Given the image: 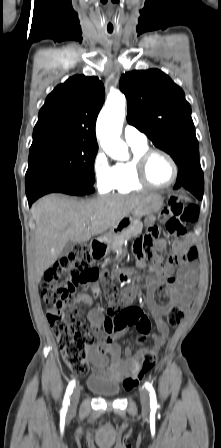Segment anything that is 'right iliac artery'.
<instances>
[{"label": "right iliac artery", "instance_id": "82829eb1", "mask_svg": "<svg viewBox=\"0 0 221 448\" xmlns=\"http://www.w3.org/2000/svg\"><path fill=\"white\" fill-rule=\"evenodd\" d=\"M74 386H75V380H72V381L69 383V385H68V387H67V389H66L65 397H64V400H63V407H62V410H61L63 413H66V412H67L68 405L70 404V399H69V397H70V395H71L72 392H73V388H74Z\"/></svg>", "mask_w": 221, "mask_h": 448}]
</instances>
